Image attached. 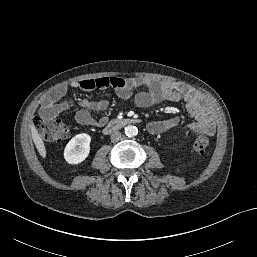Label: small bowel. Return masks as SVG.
Returning <instances> with one entry per match:
<instances>
[{
    "mask_svg": "<svg viewBox=\"0 0 257 257\" xmlns=\"http://www.w3.org/2000/svg\"><path fill=\"white\" fill-rule=\"evenodd\" d=\"M70 88L81 89L83 91L113 88L124 104H133L139 108H146L162 101H184L188 113L195 119V122L188 126L189 131L196 134L206 133L208 135H212L215 131L211 113L199 94L185 86L172 82L139 77L127 79L118 76L99 77L72 81L68 84L60 85L54 90L52 95L45 98L42 110L58 113L68 108L67 103L55 104V101L62 97ZM140 88L142 90L133 95V91ZM78 104L81 107L75 114V120L78 124L84 126H101L106 122L105 117L96 120L92 116V112H101L107 108L108 102L106 100L81 98ZM178 124V117L153 121L148 124V131L151 134H161L174 129Z\"/></svg>",
    "mask_w": 257,
    "mask_h": 257,
    "instance_id": "1",
    "label": "small bowel"
}]
</instances>
